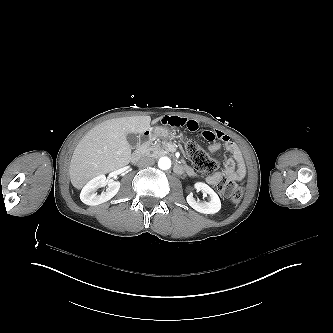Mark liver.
Wrapping results in <instances>:
<instances>
[{
    "label": "liver",
    "instance_id": "liver-1",
    "mask_svg": "<svg viewBox=\"0 0 333 333\" xmlns=\"http://www.w3.org/2000/svg\"><path fill=\"white\" fill-rule=\"evenodd\" d=\"M163 117L131 116L106 120L93 127L76 146L69 167L72 185L81 189L90 179L129 164L128 134H142Z\"/></svg>",
    "mask_w": 333,
    "mask_h": 333
}]
</instances>
